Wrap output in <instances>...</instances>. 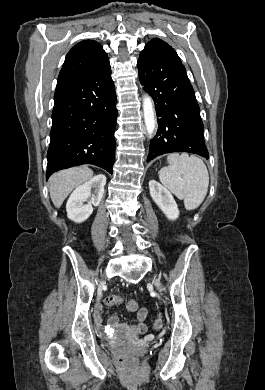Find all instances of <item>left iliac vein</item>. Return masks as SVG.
I'll return each mask as SVG.
<instances>
[{"instance_id": "4c4485c4", "label": "left iliac vein", "mask_w": 265, "mask_h": 390, "mask_svg": "<svg viewBox=\"0 0 265 390\" xmlns=\"http://www.w3.org/2000/svg\"><path fill=\"white\" fill-rule=\"evenodd\" d=\"M152 282L155 284L156 288H157L158 290L161 291L162 286H161L160 280H159L158 278H154V279L152 280Z\"/></svg>"}]
</instances>
